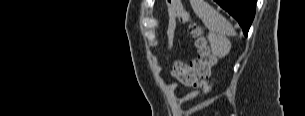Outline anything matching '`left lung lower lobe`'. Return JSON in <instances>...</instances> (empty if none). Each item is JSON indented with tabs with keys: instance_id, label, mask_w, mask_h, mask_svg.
<instances>
[{
	"instance_id": "obj_1",
	"label": "left lung lower lobe",
	"mask_w": 305,
	"mask_h": 116,
	"mask_svg": "<svg viewBox=\"0 0 305 116\" xmlns=\"http://www.w3.org/2000/svg\"><path fill=\"white\" fill-rule=\"evenodd\" d=\"M215 2L238 21L244 35L247 36L254 19L256 0H215Z\"/></svg>"
}]
</instances>
